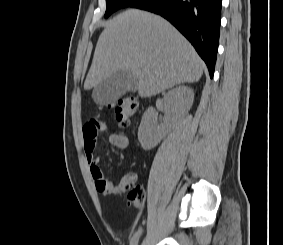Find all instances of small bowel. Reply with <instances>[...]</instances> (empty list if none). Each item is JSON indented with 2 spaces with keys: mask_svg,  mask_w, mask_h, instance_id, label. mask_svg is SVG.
I'll list each match as a JSON object with an SVG mask.
<instances>
[{
  "mask_svg": "<svg viewBox=\"0 0 283 245\" xmlns=\"http://www.w3.org/2000/svg\"><path fill=\"white\" fill-rule=\"evenodd\" d=\"M106 130H108V127L105 123L93 118L84 124L82 135L84 151L90 167V173L93 178L95 188L100 194L109 196L117 195L123 192L125 184L128 182H133L135 180V176L128 175L124 177L117 185L105 178L99 166V157L94 154V150L98 132ZM108 142L110 145L118 149H126L129 146L128 135L123 131L111 132L108 136Z\"/></svg>",
  "mask_w": 283,
  "mask_h": 245,
  "instance_id": "1",
  "label": "small bowel"
}]
</instances>
